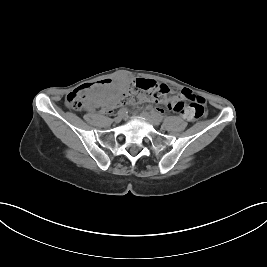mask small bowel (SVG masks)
<instances>
[{
    "mask_svg": "<svg viewBox=\"0 0 267 267\" xmlns=\"http://www.w3.org/2000/svg\"><path fill=\"white\" fill-rule=\"evenodd\" d=\"M84 90H90L93 88L91 85H86L83 87ZM116 95L115 94H110L106 97L100 96V95H95L91 98L90 102L88 103V108L89 109H100L101 112H108L111 108H107V104L115 99ZM182 95L181 94H176L172 95L169 100V107L174 111V107L182 102ZM175 112V111H174ZM187 119V118H186ZM190 120V119H187Z\"/></svg>",
    "mask_w": 267,
    "mask_h": 267,
    "instance_id": "small-bowel-1",
    "label": "small bowel"
}]
</instances>
